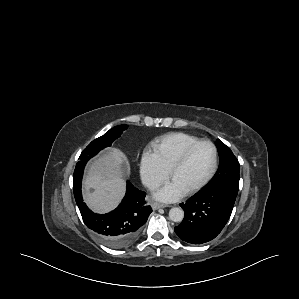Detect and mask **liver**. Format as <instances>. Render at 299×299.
Here are the masks:
<instances>
[{"mask_svg": "<svg viewBox=\"0 0 299 299\" xmlns=\"http://www.w3.org/2000/svg\"><path fill=\"white\" fill-rule=\"evenodd\" d=\"M125 161V154L112 148L89 165L83 181L84 200L93 211L109 212L123 198L122 165Z\"/></svg>", "mask_w": 299, "mask_h": 299, "instance_id": "liver-1", "label": "liver"}]
</instances>
